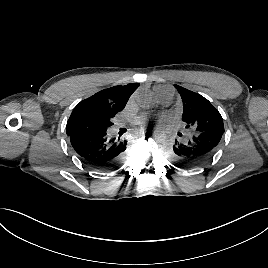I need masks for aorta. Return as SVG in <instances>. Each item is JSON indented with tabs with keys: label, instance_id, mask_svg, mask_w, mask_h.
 Segmentation results:
<instances>
[{
	"label": "aorta",
	"instance_id": "1",
	"mask_svg": "<svg viewBox=\"0 0 268 268\" xmlns=\"http://www.w3.org/2000/svg\"><path fill=\"white\" fill-rule=\"evenodd\" d=\"M137 103L142 108H149L151 106V103H152V98L149 95H141V96L138 97ZM153 139L157 143L162 144V143H164L166 141L167 136L162 131H156L153 134Z\"/></svg>",
	"mask_w": 268,
	"mask_h": 268
}]
</instances>
